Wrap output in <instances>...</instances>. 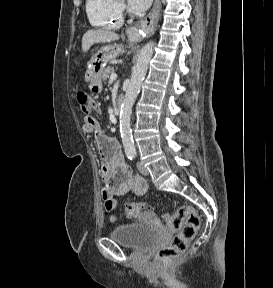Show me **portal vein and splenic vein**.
Returning <instances> with one entry per match:
<instances>
[{
    "label": "portal vein and splenic vein",
    "mask_w": 273,
    "mask_h": 288,
    "mask_svg": "<svg viewBox=\"0 0 273 288\" xmlns=\"http://www.w3.org/2000/svg\"><path fill=\"white\" fill-rule=\"evenodd\" d=\"M116 78H117V74H116V73H112V74L110 75L109 82L112 83L114 80H116Z\"/></svg>",
    "instance_id": "1"
}]
</instances>
